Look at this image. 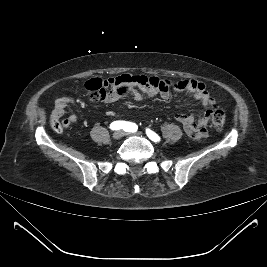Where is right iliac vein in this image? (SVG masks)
Listing matches in <instances>:
<instances>
[{
    "label": "right iliac vein",
    "instance_id": "obj_1",
    "mask_svg": "<svg viewBox=\"0 0 267 267\" xmlns=\"http://www.w3.org/2000/svg\"><path fill=\"white\" fill-rule=\"evenodd\" d=\"M124 136V132L122 131V130H118V131H115L114 133H113V139L114 140H119V139H121L122 137Z\"/></svg>",
    "mask_w": 267,
    "mask_h": 267
}]
</instances>
